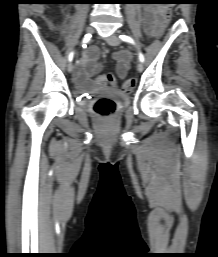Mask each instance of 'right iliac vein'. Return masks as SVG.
I'll return each instance as SVG.
<instances>
[{
  "label": "right iliac vein",
  "mask_w": 218,
  "mask_h": 257,
  "mask_svg": "<svg viewBox=\"0 0 218 257\" xmlns=\"http://www.w3.org/2000/svg\"><path fill=\"white\" fill-rule=\"evenodd\" d=\"M86 32H87L88 34L92 33V32H93V27H92L91 25L87 26V27H86ZM73 69H74V65H73L72 62H70L69 65H68V71H69V72H72Z\"/></svg>",
  "instance_id": "right-iliac-vein-1"
}]
</instances>
